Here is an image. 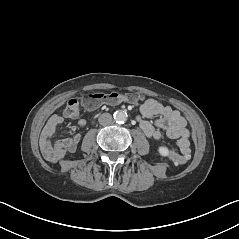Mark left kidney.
<instances>
[{
    "label": "left kidney",
    "instance_id": "1",
    "mask_svg": "<svg viewBox=\"0 0 239 239\" xmlns=\"http://www.w3.org/2000/svg\"><path fill=\"white\" fill-rule=\"evenodd\" d=\"M158 152H159V154H160L161 156H164V157H166V156L169 155V149H168L167 147H165V146H160V147L158 148Z\"/></svg>",
    "mask_w": 239,
    "mask_h": 239
}]
</instances>
